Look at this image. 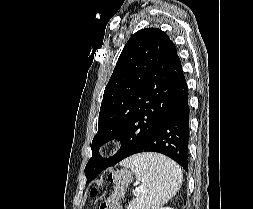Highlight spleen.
<instances>
[{
  "mask_svg": "<svg viewBox=\"0 0 253 209\" xmlns=\"http://www.w3.org/2000/svg\"><path fill=\"white\" fill-rule=\"evenodd\" d=\"M121 165L130 168L136 179L142 182L141 193L127 209H154L167 203L181 188V168L161 154H137L123 160Z\"/></svg>",
  "mask_w": 253,
  "mask_h": 209,
  "instance_id": "1",
  "label": "spleen"
}]
</instances>
